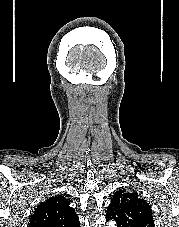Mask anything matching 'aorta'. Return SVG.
<instances>
[{"label": "aorta", "instance_id": "aorta-1", "mask_svg": "<svg viewBox=\"0 0 179 227\" xmlns=\"http://www.w3.org/2000/svg\"><path fill=\"white\" fill-rule=\"evenodd\" d=\"M106 227H116L115 222H109Z\"/></svg>", "mask_w": 179, "mask_h": 227}]
</instances>
